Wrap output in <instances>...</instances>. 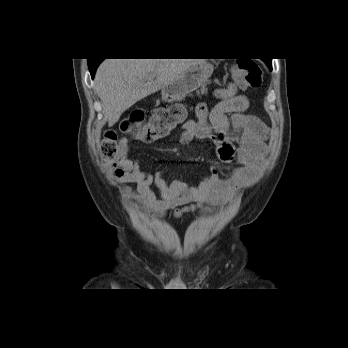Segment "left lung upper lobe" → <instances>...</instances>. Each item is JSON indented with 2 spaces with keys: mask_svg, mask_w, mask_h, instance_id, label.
<instances>
[{
  "mask_svg": "<svg viewBox=\"0 0 348 348\" xmlns=\"http://www.w3.org/2000/svg\"><path fill=\"white\" fill-rule=\"evenodd\" d=\"M265 63L269 66V67H271L272 66V62H271V59H269V60H265Z\"/></svg>",
  "mask_w": 348,
  "mask_h": 348,
  "instance_id": "obj_1",
  "label": "left lung upper lobe"
}]
</instances>
